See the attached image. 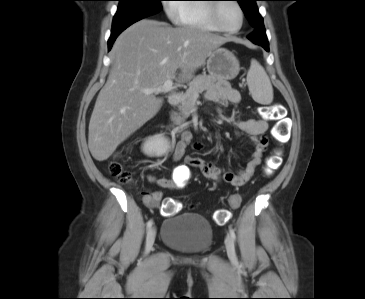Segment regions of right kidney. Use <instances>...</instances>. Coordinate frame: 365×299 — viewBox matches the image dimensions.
<instances>
[{"mask_svg": "<svg viewBox=\"0 0 365 299\" xmlns=\"http://www.w3.org/2000/svg\"><path fill=\"white\" fill-rule=\"evenodd\" d=\"M169 147L170 143L168 139L162 135H158L145 142L143 151L147 155L162 156L166 154Z\"/></svg>", "mask_w": 365, "mask_h": 299, "instance_id": "right-kidney-1", "label": "right kidney"}]
</instances>
